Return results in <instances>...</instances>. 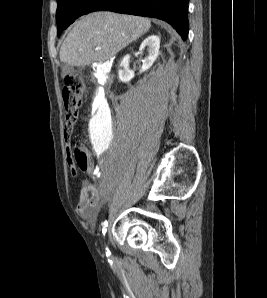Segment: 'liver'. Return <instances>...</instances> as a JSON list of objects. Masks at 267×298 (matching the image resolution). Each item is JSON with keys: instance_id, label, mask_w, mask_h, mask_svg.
<instances>
[{"instance_id": "1", "label": "liver", "mask_w": 267, "mask_h": 298, "mask_svg": "<svg viewBox=\"0 0 267 298\" xmlns=\"http://www.w3.org/2000/svg\"><path fill=\"white\" fill-rule=\"evenodd\" d=\"M151 21L109 11L90 13L74 25L60 49V60L71 66L107 61L145 34ZM100 47V50H96Z\"/></svg>"}]
</instances>
